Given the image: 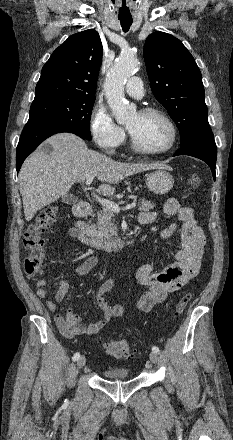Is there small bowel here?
<instances>
[{
  "label": "small bowel",
  "mask_w": 233,
  "mask_h": 440,
  "mask_svg": "<svg viewBox=\"0 0 233 440\" xmlns=\"http://www.w3.org/2000/svg\"><path fill=\"white\" fill-rule=\"evenodd\" d=\"M163 210L167 216L174 217L182 224V245L170 262L160 267L145 263L137 270V281L146 287L144 294L135 303L136 308L141 312L150 311L155 305L162 303L169 293L182 290L192 281L199 273L207 243L204 231L198 223L192 207L182 206L176 198H169L165 202ZM138 219L142 224H150L157 219V213L144 211L139 214ZM175 230L176 223H172L162 231L161 237L166 239ZM70 235L74 237L72 230ZM97 264V257L90 256L75 268V273L79 277L84 276ZM46 284L44 279L36 282V293L39 298L43 299L47 296ZM114 285L115 281L109 279L97 288L96 303L103 312V318L98 322L85 324L71 308L67 309L65 316L57 312V303L65 299L69 289L68 282L59 281L55 300L46 301V307L55 313L54 319L59 331L67 338L93 335L107 326L114 317L122 316L123 307L118 304L110 305L104 297Z\"/></svg>",
  "instance_id": "obj_1"
}]
</instances>
